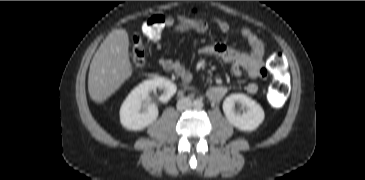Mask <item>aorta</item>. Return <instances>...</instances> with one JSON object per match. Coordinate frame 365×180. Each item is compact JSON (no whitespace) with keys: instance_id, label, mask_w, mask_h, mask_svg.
Instances as JSON below:
<instances>
[{"instance_id":"obj_1","label":"aorta","mask_w":365,"mask_h":180,"mask_svg":"<svg viewBox=\"0 0 365 180\" xmlns=\"http://www.w3.org/2000/svg\"><path fill=\"white\" fill-rule=\"evenodd\" d=\"M192 106L194 107V109L200 110L203 108V102H202V100L196 99L193 101Z\"/></svg>"}]
</instances>
